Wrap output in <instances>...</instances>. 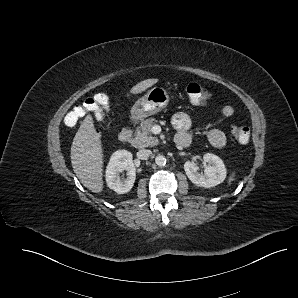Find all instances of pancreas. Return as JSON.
<instances>
[{
  "mask_svg": "<svg viewBox=\"0 0 298 298\" xmlns=\"http://www.w3.org/2000/svg\"><path fill=\"white\" fill-rule=\"evenodd\" d=\"M154 118L144 120L139 127L134 131L132 144L134 147L143 149L145 147H154L158 145L160 140L157 137L151 136L150 128Z\"/></svg>",
  "mask_w": 298,
  "mask_h": 298,
  "instance_id": "pancreas-1",
  "label": "pancreas"
}]
</instances>
